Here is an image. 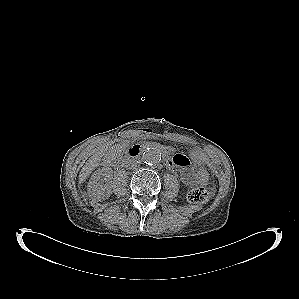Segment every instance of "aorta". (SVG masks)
Masks as SVG:
<instances>
[{
  "label": "aorta",
  "mask_w": 299,
  "mask_h": 299,
  "mask_svg": "<svg viewBox=\"0 0 299 299\" xmlns=\"http://www.w3.org/2000/svg\"><path fill=\"white\" fill-rule=\"evenodd\" d=\"M161 151L156 147H148L144 150L143 160L148 165H155L161 161Z\"/></svg>",
  "instance_id": "762f6f07"
}]
</instances>
